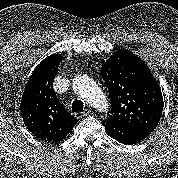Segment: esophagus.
Returning a JSON list of instances; mask_svg holds the SVG:
<instances>
[{"label":"esophagus","mask_w":178,"mask_h":178,"mask_svg":"<svg viewBox=\"0 0 178 178\" xmlns=\"http://www.w3.org/2000/svg\"><path fill=\"white\" fill-rule=\"evenodd\" d=\"M89 112H90L89 110H84L83 112H77L75 113V117L77 119L83 118L84 116L88 115Z\"/></svg>","instance_id":"obj_1"}]
</instances>
